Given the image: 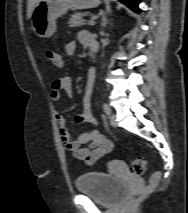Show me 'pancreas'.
Listing matches in <instances>:
<instances>
[{"label": "pancreas", "instance_id": "1", "mask_svg": "<svg viewBox=\"0 0 188 213\" xmlns=\"http://www.w3.org/2000/svg\"><path fill=\"white\" fill-rule=\"evenodd\" d=\"M88 13H74L71 15V18L68 22L70 27H81L85 25V20H83V17L86 16Z\"/></svg>", "mask_w": 188, "mask_h": 213}]
</instances>
